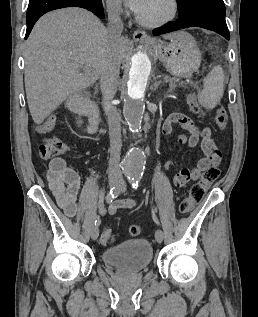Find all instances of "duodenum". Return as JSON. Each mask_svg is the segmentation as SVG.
I'll return each instance as SVG.
<instances>
[{
	"instance_id": "410a0bca",
	"label": "duodenum",
	"mask_w": 258,
	"mask_h": 317,
	"mask_svg": "<svg viewBox=\"0 0 258 317\" xmlns=\"http://www.w3.org/2000/svg\"><path fill=\"white\" fill-rule=\"evenodd\" d=\"M76 108L79 110L85 111L87 108V102L81 101V102L77 103Z\"/></svg>"
}]
</instances>
